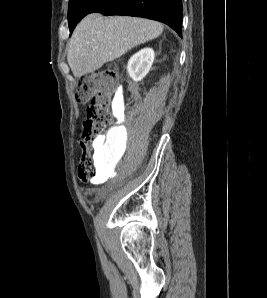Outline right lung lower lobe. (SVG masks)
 I'll return each instance as SVG.
<instances>
[{"label": "right lung lower lobe", "mask_w": 267, "mask_h": 298, "mask_svg": "<svg viewBox=\"0 0 267 298\" xmlns=\"http://www.w3.org/2000/svg\"><path fill=\"white\" fill-rule=\"evenodd\" d=\"M129 15L163 22L182 36L181 0H99L90 13Z\"/></svg>", "instance_id": "right-lung-lower-lobe-1"}]
</instances>
